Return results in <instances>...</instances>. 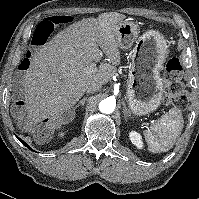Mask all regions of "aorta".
Here are the masks:
<instances>
[{"instance_id":"762f6f07","label":"aorta","mask_w":199,"mask_h":199,"mask_svg":"<svg viewBox=\"0 0 199 199\" xmlns=\"http://www.w3.org/2000/svg\"><path fill=\"white\" fill-rule=\"evenodd\" d=\"M99 110L102 113L111 114L115 110V103L109 98L104 99L99 103Z\"/></svg>"}]
</instances>
